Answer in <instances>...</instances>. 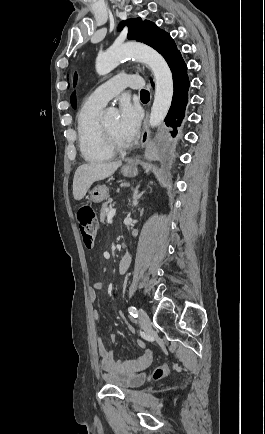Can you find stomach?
<instances>
[{"mask_svg": "<svg viewBox=\"0 0 265 434\" xmlns=\"http://www.w3.org/2000/svg\"><path fill=\"white\" fill-rule=\"evenodd\" d=\"M121 172L123 176H127V178H135L138 174V170L134 164H128V166H123L121 168ZM109 190L106 188V186H96V188H93L90 192V198L92 202H103V200H106L108 198Z\"/></svg>", "mask_w": 265, "mask_h": 434, "instance_id": "1", "label": "stomach"}]
</instances>
